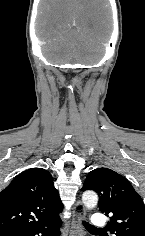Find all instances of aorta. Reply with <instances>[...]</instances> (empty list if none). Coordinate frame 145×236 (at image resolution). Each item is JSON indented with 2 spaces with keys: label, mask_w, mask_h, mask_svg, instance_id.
<instances>
[{
  "label": "aorta",
  "mask_w": 145,
  "mask_h": 236,
  "mask_svg": "<svg viewBox=\"0 0 145 236\" xmlns=\"http://www.w3.org/2000/svg\"><path fill=\"white\" fill-rule=\"evenodd\" d=\"M82 201L86 208L91 209L98 203V196L93 191H86L82 195Z\"/></svg>",
  "instance_id": "aorta-1"
}]
</instances>
